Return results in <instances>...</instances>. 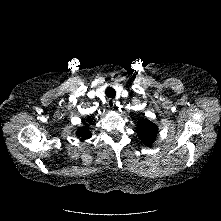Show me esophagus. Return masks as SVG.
Instances as JSON below:
<instances>
[{
  "mask_svg": "<svg viewBox=\"0 0 221 221\" xmlns=\"http://www.w3.org/2000/svg\"><path fill=\"white\" fill-rule=\"evenodd\" d=\"M107 105L109 108H113L115 105V100L114 99H108L107 100Z\"/></svg>",
  "mask_w": 221,
  "mask_h": 221,
  "instance_id": "obj_1",
  "label": "esophagus"
}]
</instances>
